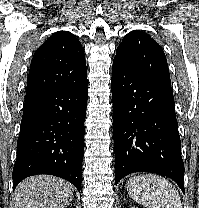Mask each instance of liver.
Segmentation results:
<instances>
[{"instance_id": "obj_1", "label": "liver", "mask_w": 199, "mask_h": 208, "mask_svg": "<svg viewBox=\"0 0 199 208\" xmlns=\"http://www.w3.org/2000/svg\"><path fill=\"white\" fill-rule=\"evenodd\" d=\"M74 187L64 179L31 176L14 193V208H65L73 198Z\"/></svg>"}]
</instances>
